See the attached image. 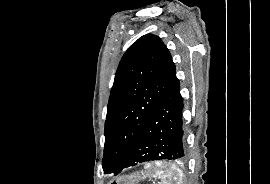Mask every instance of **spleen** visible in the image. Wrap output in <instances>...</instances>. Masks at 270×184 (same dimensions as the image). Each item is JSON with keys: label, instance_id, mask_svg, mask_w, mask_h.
<instances>
[{"label": "spleen", "instance_id": "obj_1", "mask_svg": "<svg viewBox=\"0 0 270 184\" xmlns=\"http://www.w3.org/2000/svg\"><path fill=\"white\" fill-rule=\"evenodd\" d=\"M145 174L148 177H158L161 184H182V171L174 164L163 165L162 162H155L145 166Z\"/></svg>", "mask_w": 270, "mask_h": 184}]
</instances>
